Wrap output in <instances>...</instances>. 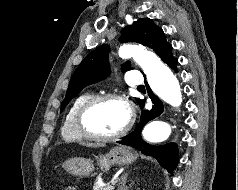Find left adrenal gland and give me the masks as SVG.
Here are the masks:
<instances>
[{
  "label": "left adrenal gland",
  "mask_w": 238,
  "mask_h": 190,
  "mask_svg": "<svg viewBox=\"0 0 238 190\" xmlns=\"http://www.w3.org/2000/svg\"><path fill=\"white\" fill-rule=\"evenodd\" d=\"M126 179H127V173L123 174L119 180V187L118 190H126Z\"/></svg>",
  "instance_id": "left-adrenal-gland-1"
}]
</instances>
